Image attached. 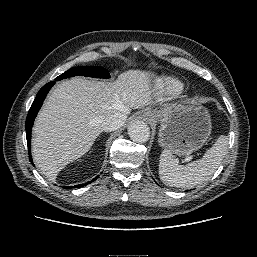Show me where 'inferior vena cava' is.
Wrapping results in <instances>:
<instances>
[{"label": "inferior vena cava", "instance_id": "obj_1", "mask_svg": "<svg viewBox=\"0 0 257 257\" xmlns=\"http://www.w3.org/2000/svg\"><path fill=\"white\" fill-rule=\"evenodd\" d=\"M127 116L121 112H114L104 116L101 120V127L104 131H113L121 127Z\"/></svg>", "mask_w": 257, "mask_h": 257}]
</instances>
